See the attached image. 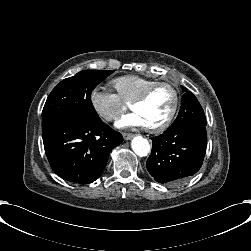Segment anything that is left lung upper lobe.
Instances as JSON below:
<instances>
[{
  "mask_svg": "<svg viewBox=\"0 0 251 251\" xmlns=\"http://www.w3.org/2000/svg\"><path fill=\"white\" fill-rule=\"evenodd\" d=\"M181 88L184 92L182 105L175 122L167 130L192 123L206 125V117L197 98L187 88Z\"/></svg>",
  "mask_w": 251,
  "mask_h": 251,
  "instance_id": "obj_1",
  "label": "left lung upper lobe"
}]
</instances>
